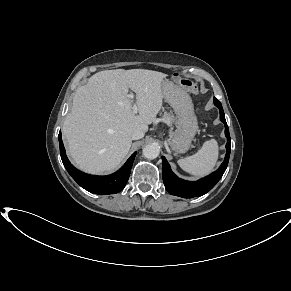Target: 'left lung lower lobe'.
Wrapping results in <instances>:
<instances>
[{
	"label": "left lung lower lobe",
	"instance_id": "1",
	"mask_svg": "<svg viewBox=\"0 0 291 291\" xmlns=\"http://www.w3.org/2000/svg\"><path fill=\"white\" fill-rule=\"evenodd\" d=\"M214 104L220 110V119L225 125V135L227 137V144H226V156L221 164L220 168L210 174L209 176L202 178L198 181H185L178 178L171 170L169 163L162 157V165H163V182L165 185L166 190L171 194L183 198H193L196 196H202L209 192L221 179L222 175L224 174L230 156L231 150V139L229 134L228 125L225 120L224 111L220 101L214 98Z\"/></svg>",
	"mask_w": 291,
	"mask_h": 291
}]
</instances>
